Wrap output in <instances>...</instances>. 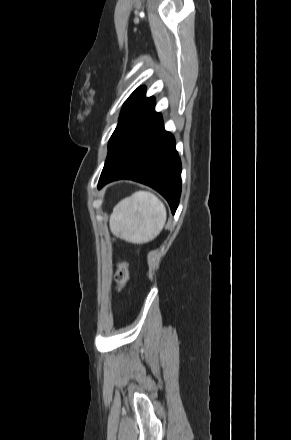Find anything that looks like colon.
Returning a JSON list of instances; mask_svg holds the SVG:
<instances>
[{"mask_svg": "<svg viewBox=\"0 0 291 440\" xmlns=\"http://www.w3.org/2000/svg\"><path fill=\"white\" fill-rule=\"evenodd\" d=\"M116 277L119 287H122L128 279V269L125 262H119L116 271Z\"/></svg>", "mask_w": 291, "mask_h": 440, "instance_id": "obj_1", "label": "colon"}]
</instances>
